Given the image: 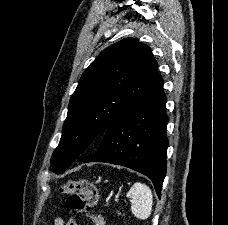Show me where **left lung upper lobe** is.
<instances>
[{
	"label": "left lung upper lobe",
	"instance_id": "5c2ea615",
	"mask_svg": "<svg viewBox=\"0 0 228 225\" xmlns=\"http://www.w3.org/2000/svg\"><path fill=\"white\" fill-rule=\"evenodd\" d=\"M160 77L151 49L136 38H125L103 50L71 96L62 137L51 158L53 171L67 170Z\"/></svg>",
	"mask_w": 228,
	"mask_h": 225
}]
</instances>
